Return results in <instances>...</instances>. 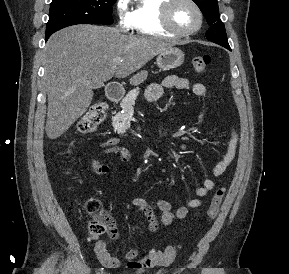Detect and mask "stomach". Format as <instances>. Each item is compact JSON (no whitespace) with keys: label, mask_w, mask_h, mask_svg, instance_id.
I'll return each instance as SVG.
<instances>
[{"label":"stomach","mask_w":289,"mask_h":274,"mask_svg":"<svg viewBox=\"0 0 289 274\" xmlns=\"http://www.w3.org/2000/svg\"><path fill=\"white\" fill-rule=\"evenodd\" d=\"M184 62V53L178 48L161 53L157 57V65L162 70L179 67Z\"/></svg>","instance_id":"0dacf381"}]
</instances>
